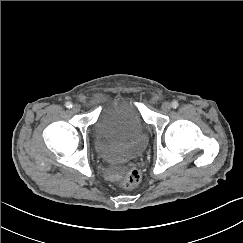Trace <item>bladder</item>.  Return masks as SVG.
<instances>
[{"mask_svg": "<svg viewBox=\"0 0 243 243\" xmlns=\"http://www.w3.org/2000/svg\"><path fill=\"white\" fill-rule=\"evenodd\" d=\"M92 136L97 154L113 164L130 162L147 146V130L138 107L116 96L100 107Z\"/></svg>", "mask_w": 243, "mask_h": 243, "instance_id": "31cf9c89", "label": "bladder"}]
</instances>
